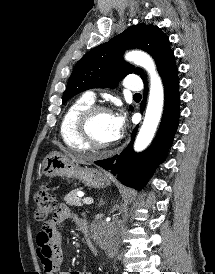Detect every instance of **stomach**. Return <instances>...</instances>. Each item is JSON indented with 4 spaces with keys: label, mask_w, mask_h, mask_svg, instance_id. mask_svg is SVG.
<instances>
[{
    "label": "stomach",
    "mask_w": 215,
    "mask_h": 274,
    "mask_svg": "<svg viewBox=\"0 0 215 274\" xmlns=\"http://www.w3.org/2000/svg\"><path fill=\"white\" fill-rule=\"evenodd\" d=\"M42 173L47 177L76 178L86 186L94 188H105L110 183L106 173L95 168L80 167L70 157L59 152H51L45 157Z\"/></svg>",
    "instance_id": "1"
}]
</instances>
